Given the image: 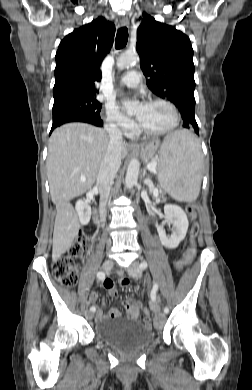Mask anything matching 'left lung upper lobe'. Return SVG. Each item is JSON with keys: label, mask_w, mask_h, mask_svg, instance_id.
Wrapping results in <instances>:
<instances>
[{"label": "left lung upper lobe", "mask_w": 252, "mask_h": 390, "mask_svg": "<svg viewBox=\"0 0 252 390\" xmlns=\"http://www.w3.org/2000/svg\"><path fill=\"white\" fill-rule=\"evenodd\" d=\"M136 50L151 91L173 102L182 117L192 115L195 119L193 49L189 38L143 13Z\"/></svg>", "instance_id": "5c2ea615"}]
</instances>
